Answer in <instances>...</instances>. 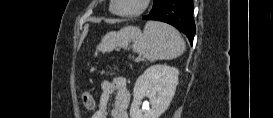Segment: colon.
Returning a JSON list of instances; mask_svg holds the SVG:
<instances>
[{
	"label": "colon",
	"instance_id": "colon-1",
	"mask_svg": "<svg viewBox=\"0 0 273 118\" xmlns=\"http://www.w3.org/2000/svg\"><path fill=\"white\" fill-rule=\"evenodd\" d=\"M82 101H83L84 106L87 109H89V110L93 109V107H94V101H93L90 93L83 92L82 93Z\"/></svg>",
	"mask_w": 273,
	"mask_h": 118
}]
</instances>
